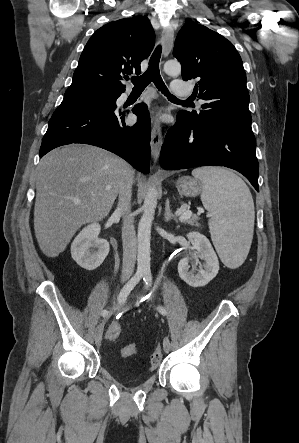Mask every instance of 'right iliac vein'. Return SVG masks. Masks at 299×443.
Instances as JSON below:
<instances>
[{"mask_svg":"<svg viewBox=\"0 0 299 443\" xmlns=\"http://www.w3.org/2000/svg\"><path fill=\"white\" fill-rule=\"evenodd\" d=\"M127 279H128V277H123L122 281L125 282ZM103 328H104V322H101L95 330L94 339H95L96 344H99L101 342L102 335H103Z\"/></svg>","mask_w":299,"mask_h":443,"instance_id":"63e3f726","label":"right iliac vein"}]
</instances>
